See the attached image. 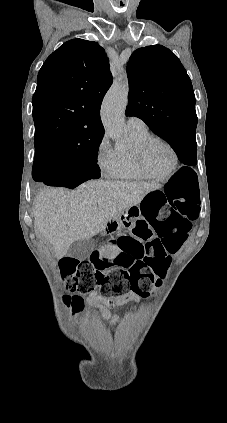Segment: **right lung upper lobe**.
Listing matches in <instances>:
<instances>
[{
  "label": "right lung upper lobe",
  "mask_w": 227,
  "mask_h": 423,
  "mask_svg": "<svg viewBox=\"0 0 227 423\" xmlns=\"http://www.w3.org/2000/svg\"><path fill=\"white\" fill-rule=\"evenodd\" d=\"M112 84L109 60L96 42L67 41L41 67L33 95L35 147L103 134L100 106Z\"/></svg>",
  "instance_id": "1"
}]
</instances>
